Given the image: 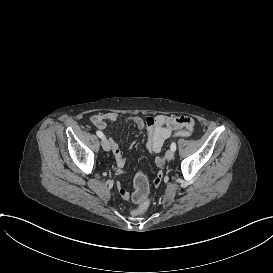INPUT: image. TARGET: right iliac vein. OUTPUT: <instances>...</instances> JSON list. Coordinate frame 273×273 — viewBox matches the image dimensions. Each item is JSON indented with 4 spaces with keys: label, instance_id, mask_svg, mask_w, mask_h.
<instances>
[{
    "label": "right iliac vein",
    "instance_id": "63e3f726",
    "mask_svg": "<svg viewBox=\"0 0 273 273\" xmlns=\"http://www.w3.org/2000/svg\"><path fill=\"white\" fill-rule=\"evenodd\" d=\"M101 143H102V148L105 151H110V149H111L110 143L108 142V140L106 138H103Z\"/></svg>",
    "mask_w": 273,
    "mask_h": 273
}]
</instances>
